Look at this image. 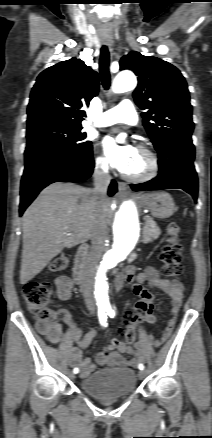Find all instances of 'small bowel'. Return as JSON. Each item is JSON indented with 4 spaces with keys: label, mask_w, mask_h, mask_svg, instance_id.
Segmentation results:
<instances>
[{
    "label": "small bowel",
    "mask_w": 212,
    "mask_h": 438,
    "mask_svg": "<svg viewBox=\"0 0 212 438\" xmlns=\"http://www.w3.org/2000/svg\"><path fill=\"white\" fill-rule=\"evenodd\" d=\"M126 282L132 284L133 293L142 297L145 294H150L153 301V295L148 292L143 284L147 283L151 288L159 290L167 294L171 299V319L167 322L160 341H165L173 331L176 322V316L184 300V288L179 281H169L160 277L158 271L149 266L144 271L140 273H135L133 267H128L121 277ZM56 290L58 298L66 301L71 298L72 289L74 283L66 275H61L55 280ZM154 305V303H153ZM57 316L62 317L65 324L72 328L73 336L78 341V347L72 348L68 352V358L71 365H77L80 368V376L82 378L87 377L91 374L95 366L91 362L90 358L82 356V350L86 348L92 337L95 335V330L90 329L88 333L82 337L80 332L73 327L72 317L66 309H59L55 313ZM156 322V317L153 313L146 320V323L153 325ZM40 332L52 343H59L61 338V327L55 323H40L38 325ZM124 353L129 354L131 357L126 358ZM144 359L143 353L139 350H135L130 346L126 345L119 339H113L111 344L105 347L96 355L97 363L101 366H121V367H131L137 366Z\"/></svg>",
    "instance_id": "1"
}]
</instances>
